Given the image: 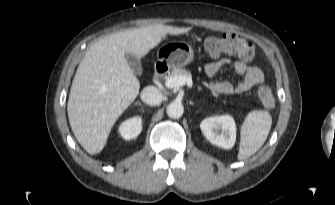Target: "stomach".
<instances>
[{
  "label": "stomach",
  "instance_id": "obj_1",
  "mask_svg": "<svg viewBox=\"0 0 335 205\" xmlns=\"http://www.w3.org/2000/svg\"><path fill=\"white\" fill-rule=\"evenodd\" d=\"M157 57L169 67H183L194 59V52L189 44L173 41L161 46Z\"/></svg>",
  "mask_w": 335,
  "mask_h": 205
}]
</instances>
